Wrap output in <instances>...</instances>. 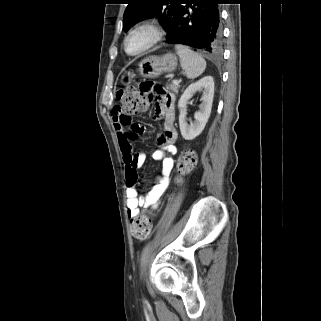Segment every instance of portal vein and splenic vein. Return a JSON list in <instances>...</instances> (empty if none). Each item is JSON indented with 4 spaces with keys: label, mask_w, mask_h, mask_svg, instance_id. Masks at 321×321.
I'll return each mask as SVG.
<instances>
[{
    "label": "portal vein and splenic vein",
    "mask_w": 321,
    "mask_h": 321,
    "mask_svg": "<svg viewBox=\"0 0 321 321\" xmlns=\"http://www.w3.org/2000/svg\"><path fill=\"white\" fill-rule=\"evenodd\" d=\"M180 81L175 80L174 83H179Z\"/></svg>",
    "instance_id": "18ae733b"
}]
</instances>
